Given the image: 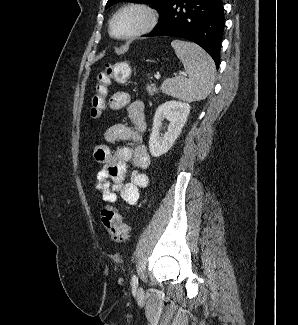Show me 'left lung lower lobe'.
Here are the masks:
<instances>
[{
	"instance_id": "0a47b994",
	"label": "left lung lower lobe",
	"mask_w": 298,
	"mask_h": 325,
	"mask_svg": "<svg viewBox=\"0 0 298 325\" xmlns=\"http://www.w3.org/2000/svg\"><path fill=\"white\" fill-rule=\"evenodd\" d=\"M224 26L222 0H171L157 26L146 36L188 39L206 50L218 67Z\"/></svg>"
}]
</instances>
